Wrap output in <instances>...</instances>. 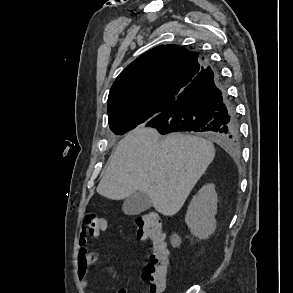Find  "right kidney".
Returning <instances> with one entry per match:
<instances>
[{"instance_id":"obj_1","label":"right kidney","mask_w":293,"mask_h":293,"mask_svg":"<svg viewBox=\"0 0 293 293\" xmlns=\"http://www.w3.org/2000/svg\"><path fill=\"white\" fill-rule=\"evenodd\" d=\"M217 194L214 184L203 186L188 206L185 222L192 234L207 239L216 229Z\"/></svg>"}]
</instances>
